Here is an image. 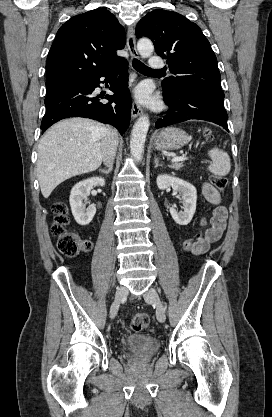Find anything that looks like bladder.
<instances>
[{
    "mask_svg": "<svg viewBox=\"0 0 272 417\" xmlns=\"http://www.w3.org/2000/svg\"><path fill=\"white\" fill-rule=\"evenodd\" d=\"M124 349L142 358L153 356L160 348L157 338L145 334H130L122 340Z\"/></svg>",
    "mask_w": 272,
    "mask_h": 417,
    "instance_id": "obj_1",
    "label": "bladder"
}]
</instances>
